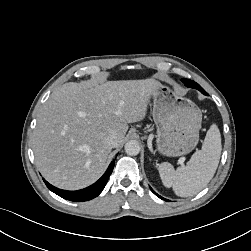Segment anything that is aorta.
<instances>
[{"label":"aorta","instance_id":"obj_1","mask_svg":"<svg viewBox=\"0 0 251 251\" xmlns=\"http://www.w3.org/2000/svg\"><path fill=\"white\" fill-rule=\"evenodd\" d=\"M125 152L130 156H136L140 152V145L135 140H130L125 144Z\"/></svg>","mask_w":251,"mask_h":251}]
</instances>
